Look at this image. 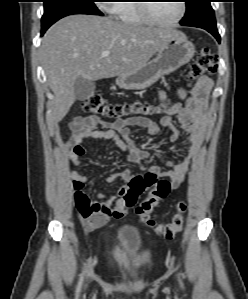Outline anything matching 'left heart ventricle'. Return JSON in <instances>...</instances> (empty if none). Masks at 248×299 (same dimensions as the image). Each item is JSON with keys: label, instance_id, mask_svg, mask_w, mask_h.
Returning a JSON list of instances; mask_svg holds the SVG:
<instances>
[{"label": "left heart ventricle", "instance_id": "obj_1", "mask_svg": "<svg viewBox=\"0 0 248 299\" xmlns=\"http://www.w3.org/2000/svg\"><path fill=\"white\" fill-rule=\"evenodd\" d=\"M152 13L162 21H171L180 13V2L178 0L152 3Z\"/></svg>", "mask_w": 248, "mask_h": 299}]
</instances>
